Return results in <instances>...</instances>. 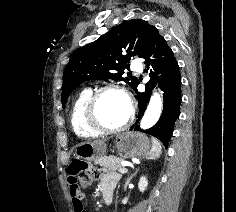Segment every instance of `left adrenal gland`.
<instances>
[{
	"mask_svg": "<svg viewBox=\"0 0 236 212\" xmlns=\"http://www.w3.org/2000/svg\"><path fill=\"white\" fill-rule=\"evenodd\" d=\"M139 171V169H136V171L134 172V174H132L130 177L127 178L124 189L126 190L127 185L129 184V182L131 181V179L137 174V172Z\"/></svg>",
	"mask_w": 236,
	"mask_h": 212,
	"instance_id": "left-adrenal-gland-1",
	"label": "left adrenal gland"
}]
</instances>
